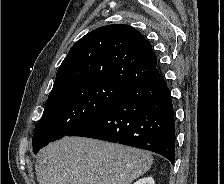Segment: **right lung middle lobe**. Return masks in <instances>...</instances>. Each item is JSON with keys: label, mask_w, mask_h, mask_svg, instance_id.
<instances>
[{"label": "right lung middle lobe", "mask_w": 224, "mask_h": 184, "mask_svg": "<svg viewBox=\"0 0 224 184\" xmlns=\"http://www.w3.org/2000/svg\"><path fill=\"white\" fill-rule=\"evenodd\" d=\"M127 88L111 81H86L48 97L35 126L33 151L76 131L106 110Z\"/></svg>", "instance_id": "right-lung-middle-lobe-1"}]
</instances>
